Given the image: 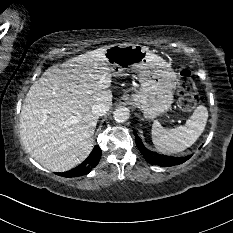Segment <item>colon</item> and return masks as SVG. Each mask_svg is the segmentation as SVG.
<instances>
[{
    "label": "colon",
    "mask_w": 233,
    "mask_h": 233,
    "mask_svg": "<svg viewBox=\"0 0 233 233\" xmlns=\"http://www.w3.org/2000/svg\"><path fill=\"white\" fill-rule=\"evenodd\" d=\"M177 93L179 105L183 110H192L198 104V96L191 71L183 65H180Z\"/></svg>",
    "instance_id": "5ec220e1"
}]
</instances>
